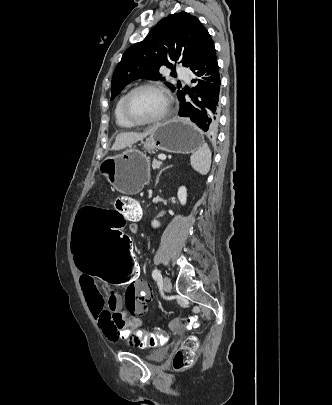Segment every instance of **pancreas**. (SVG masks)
Masks as SVG:
<instances>
[{
  "label": "pancreas",
  "mask_w": 332,
  "mask_h": 405,
  "mask_svg": "<svg viewBox=\"0 0 332 405\" xmlns=\"http://www.w3.org/2000/svg\"><path fill=\"white\" fill-rule=\"evenodd\" d=\"M160 165H161V162H160V161H153V163H152V167H153V168H159Z\"/></svg>",
  "instance_id": "cf45deb5"
}]
</instances>
